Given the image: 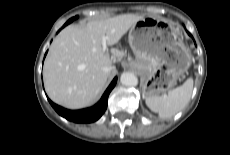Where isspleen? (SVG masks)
Instances as JSON below:
<instances>
[{"instance_id": "spleen-1", "label": "spleen", "mask_w": 230, "mask_h": 155, "mask_svg": "<svg viewBox=\"0 0 230 155\" xmlns=\"http://www.w3.org/2000/svg\"><path fill=\"white\" fill-rule=\"evenodd\" d=\"M193 91V79L188 78L183 85L174 88L161 96L146 98V105L161 118L177 114L189 103Z\"/></svg>"}]
</instances>
